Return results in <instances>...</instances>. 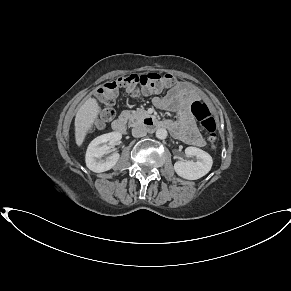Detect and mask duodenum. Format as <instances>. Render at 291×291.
<instances>
[{
	"label": "duodenum",
	"mask_w": 291,
	"mask_h": 291,
	"mask_svg": "<svg viewBox=\"0 0 291 291\" xmlns=\"http://www.w3.org/2000/svg\"><path fill=\"white\" fill-rule=\"evenodd\" d=\"M144 126L151 128V129H159V128H165L166 124L163 121L157 120L153 118L152 116H148L144 119ZM112 128L116 132H123L125 129V118L124 117H119L116 118L112 122Z\"/></svg>",
	"instance_id": "410a0bca"
}]
</instances>
